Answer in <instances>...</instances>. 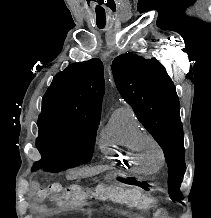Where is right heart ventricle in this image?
<instances>
[{
  "label": "right heart ventricle",
  "mask_w": 211,
  "mask_h": 218,
  "mask_svg": "<svg viewBox=\"0 0 211 218\" xmlns=\"http://www.w3.org/2000/svg\"><path fill=\"white\" fill-rule=\"evenodd\" d=\"M142 134L134 110L128 105L117 107L100 133L101 156L107 157L109 165H118V169H145V164H139L137 158Z\"/></svg>",
  "instance_id": "e07e8e85"
}]
</instances>
